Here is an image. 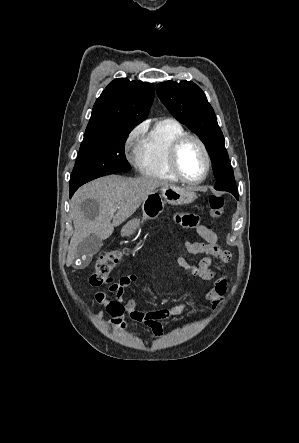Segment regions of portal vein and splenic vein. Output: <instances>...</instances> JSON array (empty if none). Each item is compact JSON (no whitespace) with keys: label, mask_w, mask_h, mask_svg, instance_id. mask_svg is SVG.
<instances>
[{"label":"portal vein and splenic vein","mask_w":299,"mask_h":443,"mask_svg":"<svg viewBox=\"0 0 299 443\" xmlns=\"http://www.w3.org/2000/svg\"><path fill=\"white\" fill-rule=\"evenodd\" d=\"M116 210H117L116 208H115V209H112V210L110 211V214L113 215V214L116 212Z\"/></svg>","instance_id":"portal-vein-and-splenic-vein-1"}]
</instances>
